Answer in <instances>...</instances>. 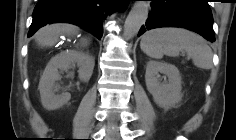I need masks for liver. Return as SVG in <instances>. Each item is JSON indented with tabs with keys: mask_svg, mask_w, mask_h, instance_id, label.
Here are the masks:
<instances>
[{
	"mask_svg": "<svg viewBox=\"0 0 236 140\" xmlns=\"http://www.w3.org/2000/svg\"><path fill=\"white\" fill-rule=\"evenodd\" d=\"M79 28L71 24H52L41 28L35 35V40L41 47H52L60 35L74 36ZM81 44L87 45L88 39H83Z\"/></svg>",
	"mask_w": 236,
	"mask_h": 140,
	"instance_id": "obj_1",
	"label": "liver"
}]
</instances>
